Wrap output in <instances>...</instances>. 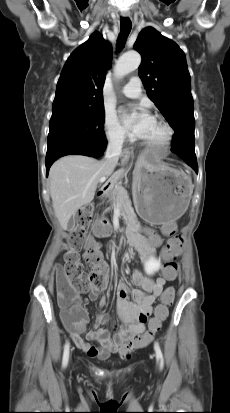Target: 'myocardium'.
Segmentation results:
<instances>
[{"label":"myocardium","instance_id":"obj_1","mask_svg":"<svg viewBox=\"0 0 230 413\" xmlns=\"http://www.w3.org/2000/svg\"><path fill=\"white\" fill-rule=\"evenodd\" d=\"M154 120L161 126L164 132V135L158 141H146L142 139V144L148 149L161 150L170 144L172 140V136H173V130L171 126L166 121H164L162 118L154 117Z\"/></svg>","mask_w":230,"mask_h":413}]
</instances>
